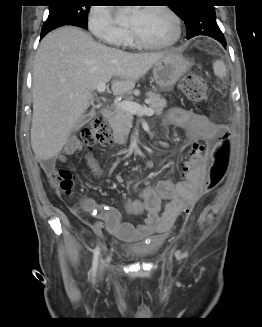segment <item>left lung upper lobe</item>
<instances>
[{
  "instance_id": "obj_1",
  "label": "left lung upper lobe",
  "mask_w": 262,
  "mask_h": 327,
  "mask_svg": "<svg viewBox=\"0 0 262 327\" xmlns=\"http://www.w3.org/2000/svg\"><path fill=\"white\" fill-rule=\"evenodd\" d=\"M187 5L174 4L172 1L171 10H173L187 27V35L194 31L217 30L219 27L216 23V13L214 6L208 4L207 0H189Z\"/></svg>"
}]
</instances>
